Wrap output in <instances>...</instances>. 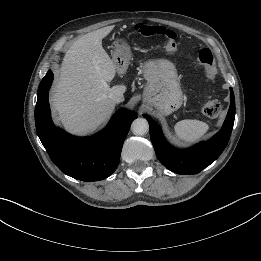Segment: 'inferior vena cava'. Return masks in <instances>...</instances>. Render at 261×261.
Masks as SVG:
<instances>
[{
  "label": "inferior vena cava",
  "instance_id": "inferior-vena-cava-1",
  "mask_svg": "<svg viewBox=\"0 0 261 261\" xmlns=\"http://www.w3.org/2000/svg\"><path fill=\"white\" fill-rule=\"evenodd\" d=\"M109 98L114 102V103H120L124 101V97L122 94H116V93H111L109 95Z\"/></svg>",
  "mask_w": 261,
  "mask_h": 261
}]
</instances>
